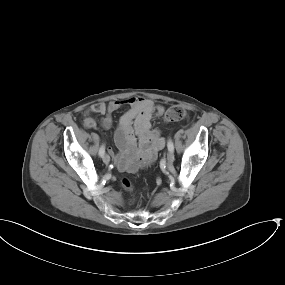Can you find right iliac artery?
<instances>
[{
    "instance_id": "obj_1",
    "label": "right iliac artery",
    "mask_w": 285,
    "mask_h": 285,
    "mask_svg": "<svg viewBox=\"0 0 285 285\" xmlns=\"http://www.w3.org/2000/svg\"><path fill=\"white\" fill-rule=\"evenodd\" d=\"M104 153H105V146L102 145L100 150H99V155L102 157L104 155Z\"/></svg>"
}]
</instances>
